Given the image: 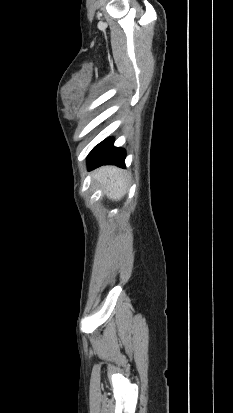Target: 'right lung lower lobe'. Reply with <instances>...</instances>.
<instances>
[{"instance_id":"obj_1","label":"right lung lower lobe","mask_w":233,"mask_h":413,"mask_svg":"<svg viewBox=\"0 0 233 413\" xmlns=\"http://www.w3.org/2000/svg\"><path fill=\"white\" fill-rule=\"evenodd\" d=\"M113 142V138H108L90 152L87 160L89 170L107 164L124 167L125 151L115 148Z\"/></svg>"}]
</instances>
